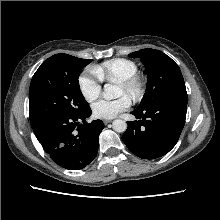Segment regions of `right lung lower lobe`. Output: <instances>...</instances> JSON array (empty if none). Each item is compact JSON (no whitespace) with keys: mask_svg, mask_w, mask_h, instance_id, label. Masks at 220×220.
Masks as SVG:
<instances>
[{"mask_svg":"<svg viewBox=\"0 0 220 220\" xmlns=\"http://www.w3.org/2000/svg\"><path fill=\"white\" fill-rule=\"evenodd\" d=\"M91 113L88 108L77 115L57 116L33 128L44 151L59 166L78 170L90 164L96 157L99 134L104 124L101 120L88 124L85 119Z\"/></svg>","mask_w":220,"mask_h":220,"instance_id":"98d812e1","label":"right lung lower lobe"}]
</instances>
